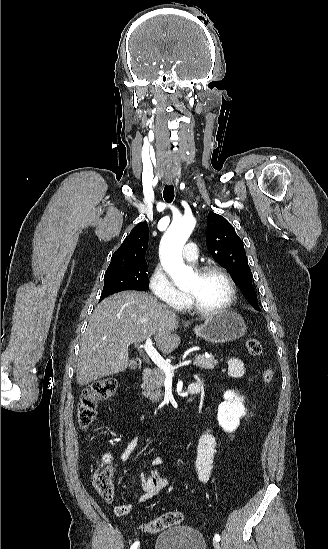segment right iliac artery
<instances>
[{
	"label": "right iliac artery",
	"instance_id": "right-iliac-artery-1",
	"mask_svg": "<svg viewBox=\"0 0 328 549\" xmlns=\"http://www.w3.org/2000/svg\"><path fill=\"white\" fill-rule=\"evenodd\" d=\"M138 546H139V542H138V541H136L135 543H133V545L131 546V548H130V549H137V548H138Z\"/></svg>",
	"mask_w": 328,
	"mask_h": 549
}]
</instances>
